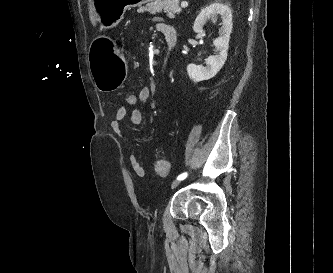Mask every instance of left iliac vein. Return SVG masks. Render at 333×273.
<instances>
[{
  "label": "left iliac vein",
  "mask_w": 333,
  "mask_h": 273,
  "mask_svg": "<svg viewBox=\"0 0 333 273\" xmlns=\"http://www.w3.org/2000/svg\"><path fill=\"white\" fill-rule=\"evenodd\" d=\"M180 183H181V180H174L170 185L171 189L176 188Z\"/></svg>",
  "instance_id": "4c4485c4"
}]
</instances>
